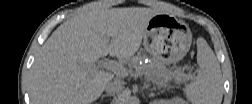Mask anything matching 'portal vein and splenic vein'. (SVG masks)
<instances>
[{"mask_svg":"<svg viewBox=\"0 0 252 104\" xmlns=\"http://www.w3.org/2000/svg\"><path fill=\"white\" fill-rule=\"evenodd\" d=\"M101 65L111 70L112 72H114L115 74L119 76H122V77L128 76L126 69H124L121 65H119L118 63L114 61H108V62L102 63ZM188 78H190V76H188Z\"/></svg>","mask_w":252,"mask_h":104,"instance_id":"portal-vein-and-splenic-vein-1","label":"portal vein and splenic vein"}]
</instances>
